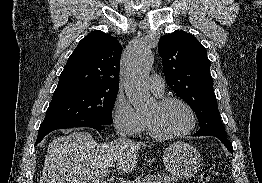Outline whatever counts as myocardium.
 Masks as SVG:
<instances>
[{
	"instance_id": "f54148a6",
	"label": "myocardium",
	"mask_w": 262,
	"mask_h": 183,
	"mask_svg": "<svg viewBox=\"0 0 262 183\" xmlns=\"http://www.w3.org/2000/svg\"><path fill=\"white\" fill-rule=\"evenodd\" d=\"M171 103H178L181 104L182 106H184L188 112L190 113L191 116V125L190 127L180 133L177 134H163L161 132H159L154 125L152 124V122L146 117L145 118V122H146V128L148 130V133L153 137L156 138L158 140H173V139H179V138H183L189 134H191L197 125V114L194 110V108L185 100L178 98V97H164L161 98L158 102L157 105L161 108L168 106Z\"/></svg>"
}]
</instances>
